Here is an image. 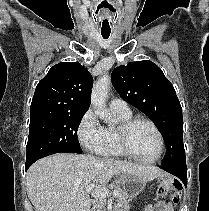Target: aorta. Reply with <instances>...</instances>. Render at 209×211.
I'll use <instances>...</instances> for the list:
<instances>
[{
  "label": "aorta",
  "mask_w": 209,
  "mask_h": 211,
  "mask_svg": "<svg viewBox=\"0 0 209 211\" xmlns=\"http://www.w3.org/2000/svg\"><path fill=\"white\" fill-rule=\"evenodd\" d=\"M111 79L108 75H104L98 79L92 89L91 104L95 109V113L101 120L106 123L114 122L111 114L106 108V99L108 96Z\"/></svg>",
  "instance_id": "1"
}]
</instances>
